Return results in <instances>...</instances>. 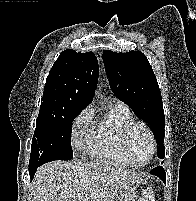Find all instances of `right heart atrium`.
<instances>
[{"label":"right heart atrium","mask_w":196,"mask_h":201,"mask_svg":"<svg viewBox=\"0 0 196 201\" xmlns=\"http://www.w3.org/2000/svg\"><path fill=\"white\" fill-rule=\"evenodd\" d=\"M93 110L91 107L84 108L72 123V144L75 150L87 148L92 132Z\"/></svg>","instance_id":"right-heart-atrium-1"}]
</instances>
